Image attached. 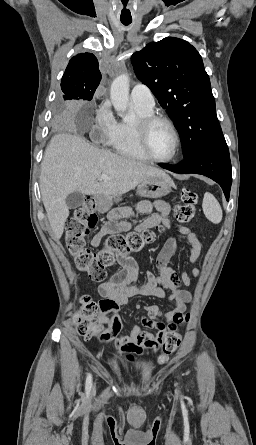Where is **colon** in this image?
I'll return each mask as SVG.
<instances>
[{"instance_id": "5ec220e1", "label": "colon", "mask_w": 256, "mask_h": 445, "mask_svg": "<svg viewBox=\"0 0 256 445\" xmlns=\"http://www.w3.org/2000/svg\"><path fill=\"white\" fill-rule=\"evenodd\" d=\"M198 197L191 190H184L181 201L174 209L177 221L187 223L196 214ZM95 202L87 199L75 216L68 221L66 228V247L73 257L77 268L86 273L94 281H102L106 277V269L115 264L117 256H128L132 252L139 251L144 246L151 244L156 239V232L145 229L138 233H130L127 236L112 234L106 240L105 248L99 252H93L86 247L90 232L97 226L98 217L93 209ZM100 304L91 300L88 296L81 298V310L76 316L75 324L78 333L88 339L98 338L102 334V325L98 321ZM189 320V314L176 316L177 324H185ZM180 344V335L173 329L165 332L160 342L159 361L164 362Z\"/></svg>"}]
</instances>
